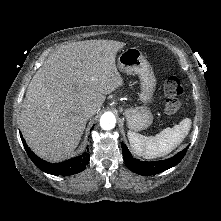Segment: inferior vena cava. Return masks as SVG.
I'll return each mask as SVG.
<instances>
[{"label": "inferior vena cava", "mask_w": 221, "mask_h": 221, "mask_svg": "<svg viewBox=\"0 0 221 221\" xmlns=\"http://www.w3.org/2000/svg\"><path fill=\"white\" fill-rule=\"evenodd\" d=\"M97 111V108L94 105H86L83 107V115L86 118L93 116Z\"/></svg>", "instance_id": "obj_1"}]
</instances>
